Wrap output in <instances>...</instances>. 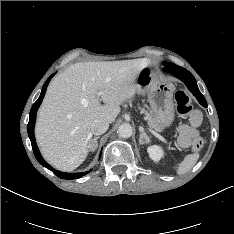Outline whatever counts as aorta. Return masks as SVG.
Returning a JSON list of instances; mask_svg holds the SVG:
<instances>
[{
	"label": "aorta",
	"instance_id": "obj_1",
	"mask_svg": "<svg viewBox=\"0 0 234 234\" xmlns=\"http://www.w3.org/2000/svg\"><path fill=\"white\" fill-rule=\"evenodd\" d=\"M132 132V126L129 123H123L118 128V135L122 138L131 137Z\"/></svg>",
	"mask_w": 234,
	"mask_h": 234
}]
</instances>
